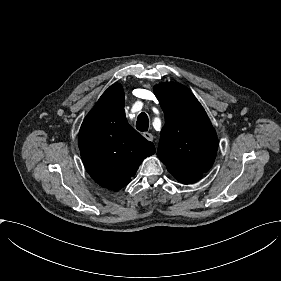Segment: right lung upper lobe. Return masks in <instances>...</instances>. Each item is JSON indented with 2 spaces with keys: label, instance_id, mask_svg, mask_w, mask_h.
Segmentation results:
<instances>
[{
  "label": "right lung upper lobe",
  "instance_id": "1",
  "mask_svg": "<svg viewBox=\"0 0 281 281\" xmlns=\"http://www.w3.org/2000/svg\"><path fill=\"white\" fill-rule=\"evenodd\" d=\"M79 149L87 172L100 186L120 190L155 147L133 129L124 111V91L113 84L84 119Z\"/></svg>",
  "mask_w": 281,
  "mask_h": 281
}]
</instances>
